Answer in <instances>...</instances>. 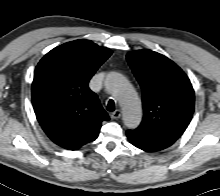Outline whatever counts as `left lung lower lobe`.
<instances>
[{"instance_id":"1","label":"left lung lower lobe","mask_w":220,"mask_h":196,"mask_svg":"<svg viewBox=\"0 0 220 196\" xmlns=\"http://www.w3.org/2000/svg\"><path fill=\"white\" fill-rule=\"evenodd\" d=\"M126 134H127V137L129 138L130 142L134 146H136L137 148L142 149V150L147 151V152L160 151L157 148L151 146L149 143L144 141L142 138H140L136 134L132 133L131 131H127Z\"/></svg>"}]
</instances>
